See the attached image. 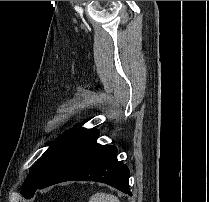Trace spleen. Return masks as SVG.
I'll list each match as a JSON object with an SVG mask.
<instances>
[{"label":"spleen","instance_id":"obj_1","mask_svg":"<svg viewBox=\"0 0 209 202\" xmlns=\"http://www.w3.org/2000/svg\"><path fill=\"white\" fill-rule=\"evenodd\" d=\"M89 202H120V201L116 196L112 194L96 193L90 197Z\"/></svg>","mask_w":209,"mask_h":202}]
</instances>
